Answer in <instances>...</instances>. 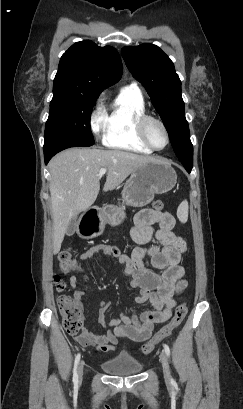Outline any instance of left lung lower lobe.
<instances>
[{
	"mask_svg": "<svg viewBox=\"0 0 243 409\" xmlns=\"http://www.w3.org/2000/svg\"><path fill=\"white\" fill-rule=\"evenodd\" d=\"M183 166L185 167V169H186V171H187L188 173L191 172L192 165L185 164V165H183Z\"/></svg>",
	"mask_w": 243,
	"mask_h": 409,
	"instance_id": "obj_1",
	"label": "left lung lower lobe"
}]
</instances>
